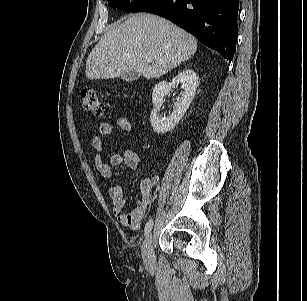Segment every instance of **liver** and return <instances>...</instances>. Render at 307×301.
<instances>
[{"label": "liver", "instance_id": "6515ba94", "mask_svg": "<svg viewBox=\"0 0 307 301\" xmlns=\"http://www.w3.org/2000/svg\"><path fill=\"white\" fill-rule=\"evenodd\" d=\"M196 49V39L180 27L162 17L139 13L104 33L87 58L85 73L90 80L130 71L146 79L159 78L191 58Z\"/></svg>", "mask_w": 307, "mask_h": 301}]
</instances>
